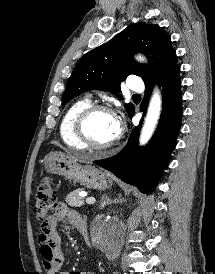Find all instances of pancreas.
Instances as JSON below:
<instances>
[{"label": "pancreas", "mask_w": 215, "mask_h": 274, "mask_svg": "<svg viewBox=\"0 0 215 274\" xmlns=\"http://www.w3.org/2000/svg\"><path fill=\"white\" fill-rule=\"evenodd\" d=\"M82 190L79 188L69 193L65 199L66 203L71 207H81L84 204L83 198L79 195Z\"/></svg>", "instance_id": "cf45deb5"}]
</instances>
